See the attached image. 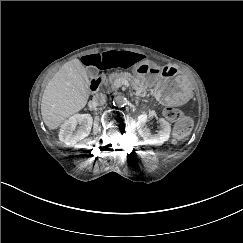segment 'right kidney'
Returning a JSON list of instances; mask_svg holds the SVG:
<instances>
[{
    "label": "right kidney",
    "instance_id": "right-kidney-1",
    "mask_svg": "<svg viewBox=\"0 0 243 243\" xmlns=\"http://www.w3.org/2000/svg\"><path fill=\"white\" fill-rule=\"evenodd\" d=\"M93 118L90 114H75L59 132V139L66 145H75L89 135Z\"/></svg>",
    "mask_w": 243,
    "mask_h": 243
}]
</instances>
